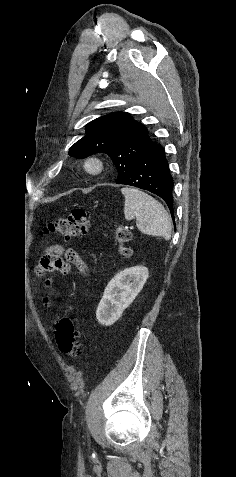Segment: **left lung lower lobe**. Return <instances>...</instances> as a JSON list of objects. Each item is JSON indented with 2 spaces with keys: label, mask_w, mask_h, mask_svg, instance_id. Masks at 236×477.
<instances>
[{
  "label": "left lung lower lobe",
  "mask_w": 236,
  "mask_h": 477,
  "mask_svg": "<svg viewBox=\"0 0 236 477\" xmlns=\"http://www.w3.org/2000/svg\"><path fill=\"white\" fill-rule=\"evenodd\" d=\"M118 184L144 189L161 197L166 202L174 222L173 179L161 145L151 143L135 158L128 175Z\"/></svg>",
  "instance_id": "1"
}]
</instances>
